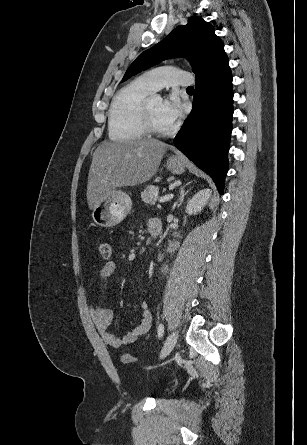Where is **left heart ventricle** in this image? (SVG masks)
Segmentation results:
<instances>
[{"label":"left heart ventricle","instance_id":"left-heart-ventricle-1","mask_svg":"<svg viewBox=\"0 0 307 445\" xmlns=\"http://www.w3.org/2000/svg\"><path fill=\"white\" fill-rule=\"evenodd\" d=\"M151 114L154 123L161 129H169L173 126L163 115V101L159 95L155 96L151 103Z\"/></svg>","mask_w":307,"mask_h":445}]
</instances>
